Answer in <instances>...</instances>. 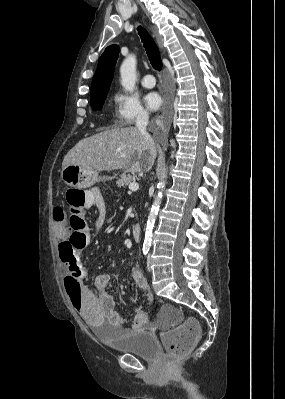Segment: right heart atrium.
<instances>
[{"mask_svg":"<svg viewBox=\"0 0 285 399\" xmlns=\"http://www.w3.org/2000/svg\"><path fill=\"white\" fill-rule=\"evenodd\" d=\"M115 116L119 126H130L137 121L146 120L148 111L134 95L119 91L114 95Z\"/></svg>","mask_w":285,"mask_h":399,"instance_id":"d8ad5b80","label":"right heart atrium"}]
</instances>
